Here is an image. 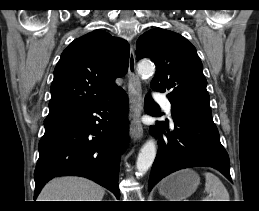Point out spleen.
Here are the masks:
<instances>
[{"instance_id":"spleen-1","label":"spleen","mask_w":259,"mask_h":211,"mask_svg":"<svg viewBox=\"0 0 259 211\" xmlns=\"http://www.w3.org/2000/svg\"><path fill=\"white\" fill-rule=\"evenodd\" d=\"M205 192L211 197H207L202 201H230L229 193L222 181L214 174L205 172Z\"/></svg>"}]
</instances>
